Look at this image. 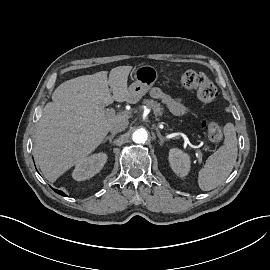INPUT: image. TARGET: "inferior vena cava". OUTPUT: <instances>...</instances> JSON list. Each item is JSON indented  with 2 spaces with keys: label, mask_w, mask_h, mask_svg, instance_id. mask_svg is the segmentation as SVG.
Here are the masks:
<instances>
[{
  "label": "inferior vena cava",
  "mask_w": 270,
  "mask_h": 270,
  "mask_svg": "<svg viewBox=\"0 0 270 270\" xmlns=\"http://www.w3.org/2000/svg\"><path fill=\"white\" fill-rule=\"evenodd\" d=\"M128 124H129L128 120L116 121L114 124L110 126V131L112 133L121 132L127 128Z\"/></svg>",
  "instance_id": "obj_1"
}]
</instances>
